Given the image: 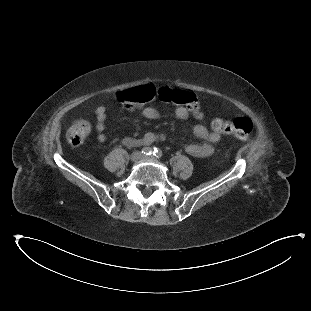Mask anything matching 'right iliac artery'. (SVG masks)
<instances>
[{
  "instance_id": "right-iliac-artery-1",
  "label": "right iliac artery",
  "mask_w": 311,
  "mask_h": 311,
  "mask_svg": "<svg viewBox=\"0 0 311 311\" xmlns=\"http://www.w3.org/2000/svg\"><path fill=\"white\" fill-rule=\"evenodd\" d=\"M141 153L144 154V155H151V154L153 153V148L144 147V148L141 150Z\"/></svg>"
}]
</instances>
